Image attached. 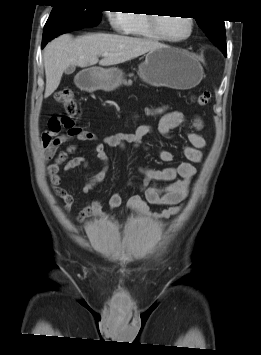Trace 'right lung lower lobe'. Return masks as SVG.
<instances>
[{
  "label": "right lung lower lobe",
  "mask_w": 261,
  "mask_h": 355,
  "mask_svg": "<svg viewBox=\"0 0 261 355\" xmlns=\"http://www.w3.org/2000/svg\"><path fill=\"white\" fill-rule=\"evenodd\" d=\"M85 28L81 25H75V24H63V25H58L51 27L49 29L44 30L43 32V39H42V48L52 39H54L56 36L61 35L63 33H67L69 31H74L78 29Z\"/></svg>",
  "instance_id": "right-lung-lower-lobe-1"
}]
</instances>
